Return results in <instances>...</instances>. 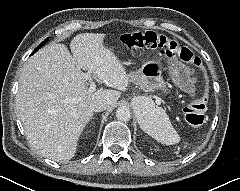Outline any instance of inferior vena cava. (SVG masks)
I'll return each instance as SVG.
<instances>
[{
	"mask_svg": "<svg viewBox=\"0 0 240 191\" xmlns=\"http://www.w3.org/2000/svg\"><path fill=\"white\" fill-rule=\"evenodd\" d=\"M107 108H108L107 103H105V102H97V103H95L93 105L92 110H93V112H101V111H103V110H105Z\"/></svg>",
	"mask_w": 240,
	"mask_h": 191,
	"instance_id": "1",
	"label": "inferior vena cava"
}]
</instances>
